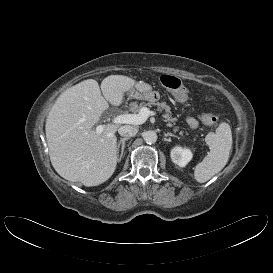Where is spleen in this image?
I'll use <instances>...</instances> for the list:
<instances>
[{
	"label": "spleen",
	"instance_id": "obj_1",
	"mask_svg": "<svg viewBox=\"0 0 273 273\" xmlns=\"http://www.w3.org/2000/svg\"><path fill=\"white\" fill-rule=\"evenodd\" d=\"M205 140L210 152L195 167L194 177L199 183L211 179L227 164L232 148V133L229 124L222 122L216 128L215 133H208Z\"/></svg>",
	"mask_w": 273,
	"mask_h": 273
}]
</instances>
